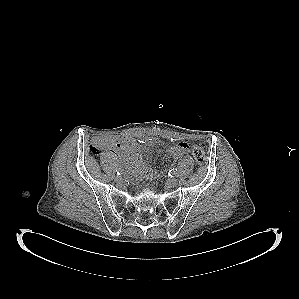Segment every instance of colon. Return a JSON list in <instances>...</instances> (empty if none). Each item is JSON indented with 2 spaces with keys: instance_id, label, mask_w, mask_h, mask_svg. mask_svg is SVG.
Returning a JSON list of instances; mask_svg holds the SVG:
<instances>
[{
  "instance_id": "1",
  "label": "colon",
  "mask_w": 299,
  "mask_h": 299,
  "mask_svg": "<svg viewBox=\"0 0 299 299\" xmlns=\"http://www.w3.org/2000/svg\"><path fill=\"white\" fill-rule=\"evenodd\" d=\"M107 138L103 137H97L92 141L90 150L93 155H99L107 145ZM192 148V156L195 160V162L198 165H203L206 159L205 151L197 146V145H191Z\"/></svg>"
}]
</instances>
